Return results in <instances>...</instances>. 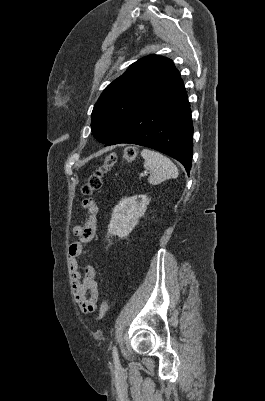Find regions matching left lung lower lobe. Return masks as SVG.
<instances>
[{"mask_svg": "<svg viewBox=\"0 0 265 401\" xmlns=\"http://www.w3.org/2000/svg\"><path fill=\"white\" fill-rule=\"evenodd\" d=\"M190 104L179 77L140 109L106 146L131 143L146 146L180 161L189 174L193 152Z\"/></svg>", "mask_w": 265, "mask_h": 401, "instance_id": "obj_1", "label": "left lung lower lobe"}]
</instances>
